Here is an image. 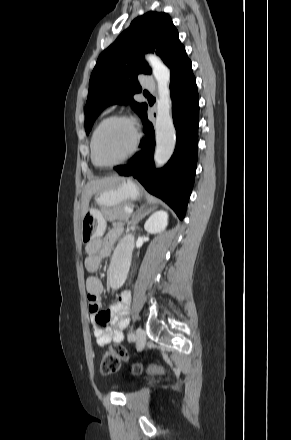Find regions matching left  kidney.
Returning <instances> with one entry per match:
<instances>
[{
    "label": "left kidney",
    "instance_id": "1",
    "mask_svg": "<svg viewBox=\"0 0 291 440\" xmlns=\"http://www.w3.org/2000/svg\"><path fill=\"white\" fill-rule=\"evenodd\" d=\"M168 224V213L164 210L154 212L146 221L144 228L148 233L157 234L165 230Z\"/></svg>",
    "mask_w": 291,
    "mask_h": 440
}]
</instances>
